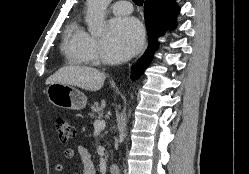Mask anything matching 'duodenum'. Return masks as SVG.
<instances>
[{"mask_svg":"<svg viewBox=\"0 0 249 174\" xmlns=\"http://www.w3.org/2000/svg\"><path fill=\"white\" fill-rule=\"evenodd\" d=\"M108 170L110 174H120V168L117 164H111Z\"/></svg>","mask_w":249,"mask_h":174,"instance_id":"410a0bca","label":"duodenum"}]
</instances>
